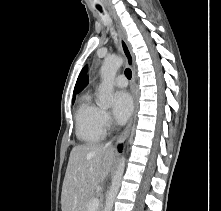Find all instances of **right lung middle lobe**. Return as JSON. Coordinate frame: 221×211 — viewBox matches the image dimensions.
<instances>
[{
  "label": "right lung middle lobe",
  "mask_w": 221,
  "mask_h": 211,
  "mask_svg": "<svg viewBox=\"0 0 221 211\" xmlns=\"http://www.w3.org/2000/svg\"><path fill=\"white\" fill-rule=\"evenodd\" d=\"M75 97L73 98V103H74Z\"/></svg>",
  "instance_id": "right-lung-middle-lobe-1"
}]
</instances>
